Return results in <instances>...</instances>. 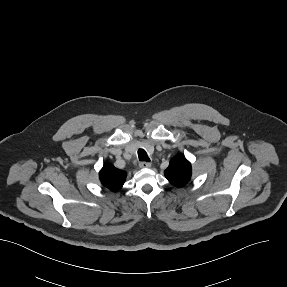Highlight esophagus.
Masks as SVG:
<instances>
[{"mask_svg": "<svg viewBox=\"0 0 287 287\" xmlns=\"http://www.w3.org/2000/svg\"><path fill=\"white\" fill-rule=\"evenodd\" d=\"M139 167H140V168H150V167H151V164H150L149 162L143 161V162H140V163H139Z\"/></svg>", "mask_w": 287, "mask_h": 287, "instance_id": "1", "label": "esophagus"}]
</instances>
